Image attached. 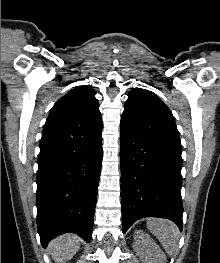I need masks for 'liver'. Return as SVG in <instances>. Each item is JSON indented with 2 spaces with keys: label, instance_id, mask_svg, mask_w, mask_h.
<instances>
[{
  "label": "liver",
  "instance_id": "obj_1",
  "mask_svg": "<svg viewBox=\"0 0 220 263\" xmlns=\"http://www.w3.org/2000/svg\"><path fill=\"white\" fill-rule=\"evenodd\" d=\"M79 246L80 238L76 234H63L50 242L49 252L57 263H64L76 254Z\"/></svg>",
  "mask_w": 220,
  "mask_h": 263
}]
</instances>
